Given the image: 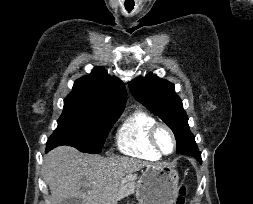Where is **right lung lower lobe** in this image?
I'll list each match as a JSON object with an SVG mask.
<instances>
[{
    "instance_id": "98d812e1",
    "label": "right lung lower lobe",
    "mask_w": 253,
    "mask_h": 204,
    "mask_svg": "<svg viewBox=\"0 0 253 204\" xmlns=\"http://www.w3.org/2000/svg\"><path fill=\"white\" fill-rule=\"evenodd\" d=\"M50 149L48 147H46V152L49 151Z\"/></svg>"
}]
</instances>
